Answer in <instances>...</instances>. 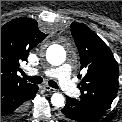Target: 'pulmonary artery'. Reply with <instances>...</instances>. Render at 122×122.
I'll return each mask as SVG.
<instances>
[{"label": "pulmonary artery", "mask_w": 122, "mask_h": 122, "mask_svg": "<svg viewBox=\"0 0 122 122\" xmlns=\"http://www.w3.org/2000/svg\"><path fill=\"white\" fill-rule=\"evenodd\" d=\"M31 74H37V70H32ZM48 77H55L58 79L61 89L69 96L75 97L79 95V90L71 80V66L70 64H63L57 68L48 69L44 72Z\"/></svg>", "instance_id": "1"}]
</instances>
